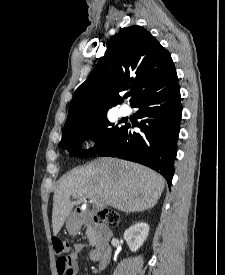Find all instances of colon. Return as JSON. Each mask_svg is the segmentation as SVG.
Masks as SVG:
<instances>
[{"label":"colon","instance_id":"obj_1","mask_svg":"<svg viewBox=\"0 0 225 275\" xmlns=\"http://www.w3.org/2000/svg\"><path fill=\"white\" fill-rule=\"evenodd\" d=\"M95 219L102 222L106 226H114L117 224L119 217L115 212L105 209L98 212ZM52 245L53 250L58 257L56 261L58 273L60 275H70L71 267L67 258V254L70 249L69 243L60 238H54L52 240Z\"/></svg>","mask_w":225,"mask_h":275}]
</instances>
